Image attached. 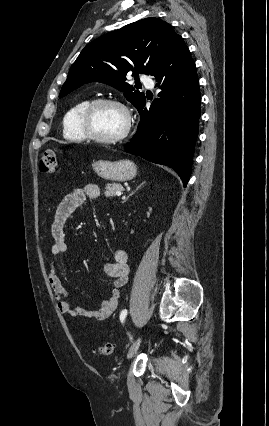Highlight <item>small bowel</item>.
Segmentation results:
<instances>
[{"label":"small bowel","mask_w":269,"mask_h":426,"mask_svg":"<svg viewBox=\"0 0 269 426\" xmlns=\"http://www.w3.org/2000/svg\"><path fill=\"white\" fill-rule=\"evenodd\" d=\"M100 196V187L95 184H88L74 190L59 203L51 225L53 244L49 250L48 275L49 283L61 314L74 318H86L97 321L107 319L118 307L119 290L126 284L129 275L127 252L123 249L115 250L112 259L104 264L103 273L114 282V289L112 295L103 300L97 308H86L74 305L67 300V288L57 275L56 257L68 249L65 226L69 218L86 199H97Z\"/></svg>","instance_id":"c3829d8e"}]
</instances>
